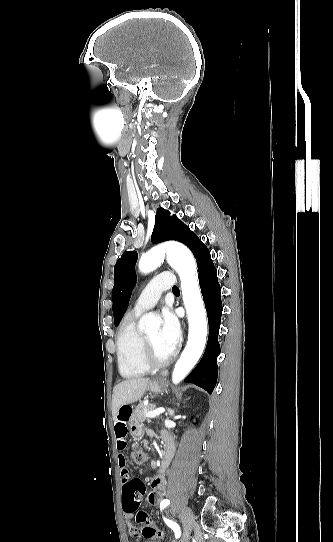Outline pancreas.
<instances>
[{
  "label": "pancreas",
  "mask_w": 333,
  "mask_h": 542,
  "mask_svg": "<svg viewBox=\"0 0 333 542\" xmlns=\"http://www.w3.org/2000/svg\"><path fill=\"white\" fill-rule=\"evenodd\" d=\"M156 406L155 404H148V406H144V404H139V406H136L134 410V420H137V422H145V414L146 412H153L155 410Z\"/></svg>",
  "instance_id": "obj_1"
}]
</instances>
